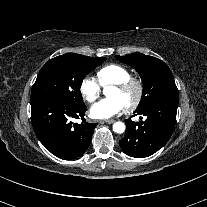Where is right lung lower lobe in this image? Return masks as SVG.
Returning <instances> with one entry per match:
<instances>
[{
  "instance_id": "obj_1",
  "label": "right lung lower lobe",
  "mask_w": 207,
  "mask_h": 207,
  "mask_svg": "<svg viewBox=\"0 0 207 207\" xmlns=\"http://www.w3.org/2000/svg\"><path fill=\"white\" fill-rule=\"evenodd\" d=\"M30 102L34 132L46 149L66 160L85 153L96 127L85 122V104L72 105L55 97H38ZM79 118L81 124L71 121Z\"/></svg>"
}]
</instances>
